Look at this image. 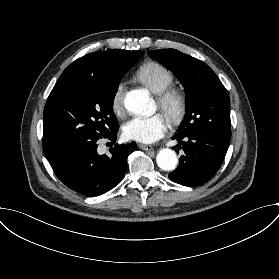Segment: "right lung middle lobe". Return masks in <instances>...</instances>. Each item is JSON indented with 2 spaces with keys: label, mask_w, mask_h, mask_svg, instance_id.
<instances>
[{
  "label": "right lung middle lobe",
  "mask_w": 279,
  "mask_h": 279,
  "mask_svg": "<svg viewBox=\"0 0 279 279\" xmlns=\"http://www.w3.org/2000/svg\"><path fill=\"white\" fill-rule=\"evenodd\" d=\"M129 54L102 75H61L44 109L43 150L48 160L77 146L107 138L118 129L113 102L127 71L143 56Z\"/></svg>",
  "instance_id": "dd1d6c3e"
}]
</instances>
